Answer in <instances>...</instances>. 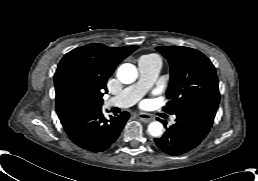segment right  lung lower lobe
I'll return each mask as SVG.
<instances>
[{"mask_svg": "<svg viewBox=\"0 0 258 181\" xmlns=\"http://www.w3.org/2000/svg\"><path fill=\"white\" fill-rule=\"evenodd\" d=\"M58 117L76 145L91 152H102L118 138L129 114L122 112L117 117L106 119L99 107L68 110L58 113Z\"/></svg>", "mask_w": 258, "mask_h": 181, "instance_id": "98d812e1", "label": "right lung lower lobe"}]
</instances>
